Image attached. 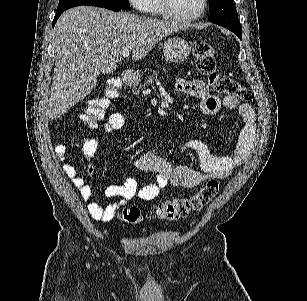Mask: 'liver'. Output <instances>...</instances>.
<instances>
[{
    "instance_id": "liver-1",
    "label": "liver",
    "mask_w": 307,
    "mask_h": 301,
    "mask_svg": "<svg viewBox=\"0 0 307 301\" xmlns=\"http://www.w3.org/2000/svg\"><path fill=\"white\" fill-rule=\"evenodd\" d=\"M177 20L74 6L59 16L53 30L55 66L49 92L50 118H59L95 88L99 74L117 70L123 48L132 60L144 58L164 36L186 30Z\"/></svg>"
}]
</instances>
